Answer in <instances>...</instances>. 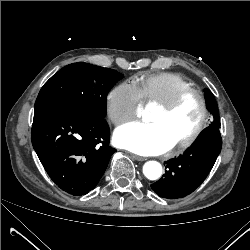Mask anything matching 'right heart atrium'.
<instances>
[{
    "label": "right heart atrium",
    "instance_id": "obj_1",
    "mask_svg": "<svg viewBox=\"0 0 250 250\" xmlns=\"http://www.w3.org/2000/svg\"><path fill=\"white\" fill-rule=\"evenodd\" d=\"M141 103V95L135 84L119 83L106 95L107 116L115 126H119L137 115Z\"/></svg>",
    "mask_w": 250,
    "mask_h": 250
}]
</instances>
